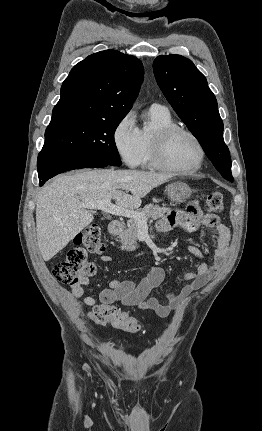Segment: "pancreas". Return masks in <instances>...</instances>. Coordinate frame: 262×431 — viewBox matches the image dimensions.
Returning <instances> with one entry per match:
<instances>
[{"instance_id": "obj_1", "label": "pancreas", "mask_w": 262, "mask_h": 431, "mask_svg": "<svg viewBox=\"0 0 262 431\" xmlns=\"http://www.w3.org/2000/svg\"><path fill=\"white\" fill-rule=\"evenodd\" d=\"M169 212L168 208L160 207L154 204L146 205L140 213L148 220L149 218L156 220L164 217L165 213ZM122 249L132 251L137 247L136 240L138 238V222L130 218L127 221V228L119 234Z\"/></svg>"}]
</instances>
